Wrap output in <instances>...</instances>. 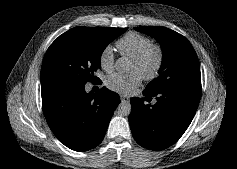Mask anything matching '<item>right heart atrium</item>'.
Wrapping results in <instances>:
<instances>
[{
	"label": "right heart atrium",
	"instance_id": "1",
	"mask_svg": "<svg viewBox=\"0 0 237 169\" xmlns=\"http://www.w3.org/2000/svg\"><path fill=\"white\" fill-rule=\"evenodd\" d=\"M99 63L103 70L110 72L114 68V51L110 45L105 46L99 55Z\"/></svg>",
	"mask_w": 237,
	"mask_h": 169
}]
</instances>
